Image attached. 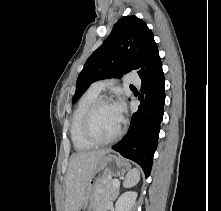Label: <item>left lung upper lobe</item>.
I'll use <instances>...</instances> for the list:
<instances>
[{"mask_svg":"<svg viewBox=\"0 0 221 211\" xmlns=\"http://www.w3.org/2000/svg\"><path fill=\"white\" fill-rule=\"evenodd\" d=\"M157 52L153 33L143 20L134 15L121 18L107 40L86 61L72 102L97 80L120 77L130 71L142 73Z\"/></svg>","mask_w":221,"mask_h":211,"instance_id":"1","label":"left lung upper lobe"}]
</instances>
